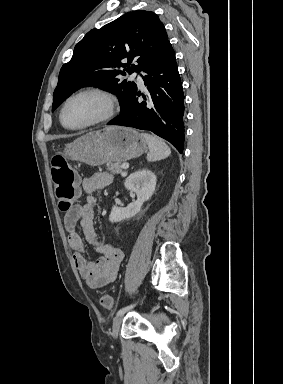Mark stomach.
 <instances>
[{"instance_id":"1","label":"stomach","mask_w":283,"mask_h":384,"mask_svg":"<svg viewBox=\"0 0 283 384\" xmlns=\"http://www.w3.org/2000/svg\"><path fill=\"white\" fill-rule=\"evenodd\" d=\"M147 142L131 128L109 126L98 132L81 136L72 144H66L64 156L88 166H102L106 162H126L144 154Z\"/></svg>"}]
</instances>
